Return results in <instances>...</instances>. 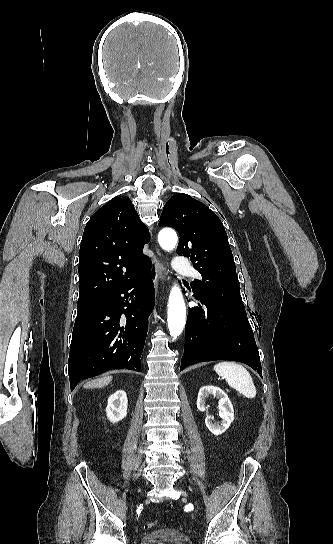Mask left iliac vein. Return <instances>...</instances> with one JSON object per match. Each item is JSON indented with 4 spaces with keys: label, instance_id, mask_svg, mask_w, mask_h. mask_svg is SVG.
<instances>
[{
    "label": "left iliac vein",
    "instance_id": "1",
    "mask_svg": "<svg viewBox=\"0 0 333 544\" xmlns=\"http://www.w3.org/2000/svg\"><path fill=\"white\" fill-rule=\"evenodd\" d=\"M183 496H186V493H185V492H183Z\"/></svg>",
    "mask_w": 333,
    "mask_h": 544
}]
</instances>
